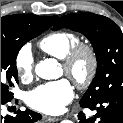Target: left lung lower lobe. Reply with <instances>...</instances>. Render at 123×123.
<instances>
[{"label": "left lung lower lobe", "instance_id": "obj_1", "mask_svg": "<svg viewBox=\"0 0 123 123\" xmlns=\"http://www.w3.org/2000/svg\"><path fill=\"white\" fill-rule=\"evenodd\" d=\"M80 105L95 110L96 114L86 118L85 114L80 112L79 123H123V94L102 97L92 102L80 100Z\"/></svg>", "mask_w": 123, "mask_h": 123}]
</instances>
